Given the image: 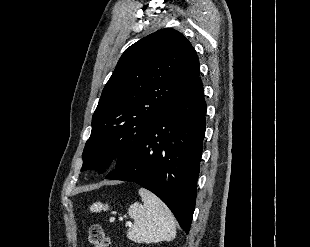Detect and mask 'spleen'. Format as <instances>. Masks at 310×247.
<instances>
[{"label": "spleen", "mask_w": 310, "mask_h": 247, "mask_svg": "<svg viewBox=\"0 0 310 247\" xmlns=\"http://www.w3.org/2000/svg\"><path fill=\"white\" fill-rule=\"evenodd\" d=\"M139 195L143 204L130 205L129 216L134 220L127 237L137 243L172 241L176 235L175 218L170 209L152 192L140 188ZM93 212L108 209L107 204L95 203L90 208Z\"/></svg>", "instance_id": "spleen-1"}]
</instances>
